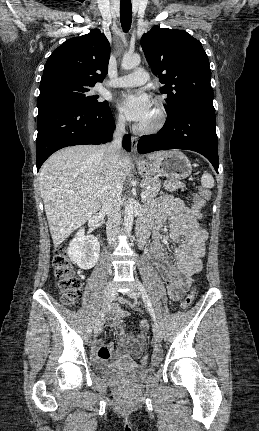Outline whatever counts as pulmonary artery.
Listing matches in <instances>:
<instances>
[{
	"label": "pulmonary artery",
	"mask_w": 259,
	"mask_h": 431,
	"mask_svg": "<svg viewBox=\"0 0 259 431\" xmlns=\"http://www.w3.org/2000/svg\"><path fill=\"white\" fill-rule=\"evenodd\" d=\"M147 80L148 73L142 68H137L132 73L118 77L106 85L112 87H134L144 84Z\"/></svg>",
	"instance_id": "pulmonary-artery-1"
}]
</instances>
